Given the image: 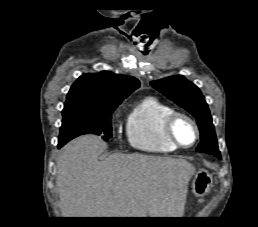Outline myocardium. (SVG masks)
<instances>
[{"label": "myocardium", "instance_id": "obj_1", "mask_svg": "<svg viewBox=\"0 0 258 227\" xmlns=\"http://www.w3.org/2000/svg\"><path fill=\"white\" fill-rule=\"evenodd\" d=\"M178 119H184V120L188 121L192 125V127L195 131V138L190 145L182 144L177 139V137L174 133V126ZM163 132H164L166 138L170 142H172L177 148H184V149L194 146L197 143L199 136H200V130H199V127H198L196 121L189 115H187L183 112H178V111H173L168 116H166V118L163 121Z\"/></svg>", "mask_w": 258, "mask_h": 227}]
</instances>
